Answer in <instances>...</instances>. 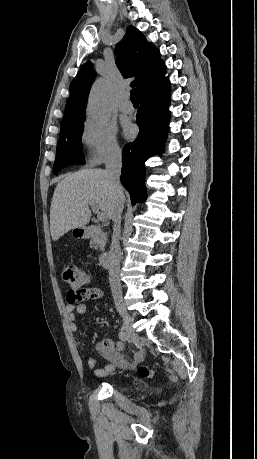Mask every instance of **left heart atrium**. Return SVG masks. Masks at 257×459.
I'll return each mask as SVG.
<instances>
[{"label":"left heart atrium","instance_id":"1","mask_svg":"<svg viewBox=\"0 0 257 459\" xmlns=\"http://www.w3.org/2000/svg\"><path fill=\"white\" fill-rule=\"evenodd\" d=\"M133 132V128L131 126L126 127V133L129 135Z\"/></svg>","mask_w":257,"mask_h":459}]
</instances>
